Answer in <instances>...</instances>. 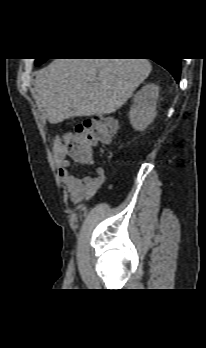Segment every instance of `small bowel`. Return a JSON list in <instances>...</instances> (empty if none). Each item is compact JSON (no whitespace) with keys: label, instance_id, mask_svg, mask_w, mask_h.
<instances>
[{"label":"small bowel","instance_id":"obj_1","mask_svg":"<svg viewBox=\"0 0 206 348\" xmlns=\"http://www.w3.org/2000/svg\"><path fill=\"white\" fill-rule=\"evenodd\" d=\"M56 162L59 175L64 182L70 200L74 205H78L91 199L106 182V170L103 166L96 167V175L94 177L85 176L83 178H77L70 173V161H68L64 156L57 155ZM94 163L95 158L93 155V159L90 162L83 164L93 165Z\"/></svg>","mask_w":206,"mask_h":348}]
</instances>
